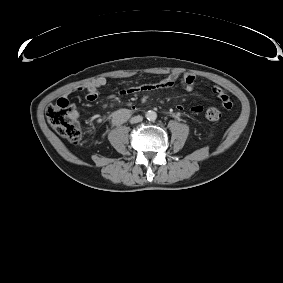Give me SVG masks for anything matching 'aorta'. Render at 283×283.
I'll use <instances>...</instances> for the list:
<instances>
[{
    "label": "aorta",
    "instance_id": "aorta-1",
    "mask_svg": "<svg viewBox=\"0 0 283 283\" xmlns=\"http://www.w3.org/2000/svg\"><path fill=\"white\" fill-rule=\"evenodd\" d=\"M145 117L149 120V121H155L157 118V113L155 111H147L145 114Z\"/></svg>",
    "mask_w": 283,
    "mask_h": 283
}]
</instances>
